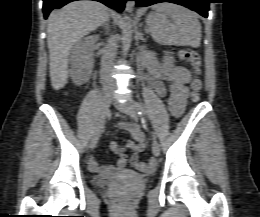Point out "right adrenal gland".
I'll list each match as a JSON object with an SVG mask.
<instances>
[{"instance_id":"2a0ac1e0","label":"right adrenal gland","mask_w":260,"mask_h":217,"mask_svg":"<svg viewBox=\"0 0 260 217\" xmlns=\"http://www.w3.org/2000/svg\"><path fill=\"white\" fill-rule=\"evenodd\" d=\"M110 17L108 18V20L101 26L102 28L105 29V32L107 33L109 28H110Z\"/></svg>"}]
</instances>
